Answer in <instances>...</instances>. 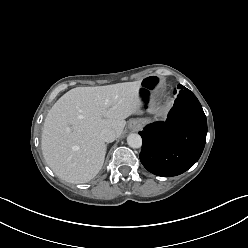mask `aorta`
Listing matches in <instances>:
<instances>
[{
    "label": "aorta",
    "instance_id": "1",
    "mask_svg": "<svg viewBox=\"0 0 248 248\" xmlns=\"http://www.w3.org/2000/svg\"><path fill=\"white\" fill-rule=\"evenodd\" d=\"M127 144L131 148H140L142 146V138L137 133H131L127 137Z\"/></svg>",
    "mask_w": 248,
    "mask_h": 248
}]
</instances>
